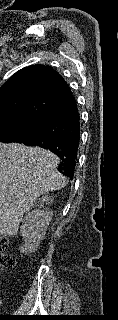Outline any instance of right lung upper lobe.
<instances>
[{
	"instance_id": "cb5924a9",
	"label": "right lung upper lobe",
	"mask_w": 118,
	"mask_h": 320,
	"mask_svg": "<svg viewBox=\"0 0 118 320\" xmlns=\"http://www.w3.org/2000/svg\"><path fill=\"white\" fill-rule=\"evenodd\" d=\"M73 94L49 66L33 65L10 77L0 88V120H47Z\"/></svg>"
}]
</instances>
